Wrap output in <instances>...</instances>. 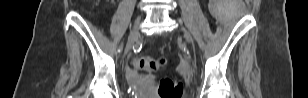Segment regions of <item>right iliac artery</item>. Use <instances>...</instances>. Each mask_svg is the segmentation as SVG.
Segmentation results:
<instances>
[{
	"instance_id": "82829eb1",
	"label": "right iliac artery",
	"mask_w": 308,
	"mask_h": 98,
	"mask_svg": "<svg viewBox=\"0 0 308 98\" xmlns=\"http://www.w3.org/2000/svg\"><path fill=\"white\" fill-rule=\"evenodd\" d=\"M123 48V45L120 46V48L118 49V51L120 52Z\"/></svg>"
}]
</instances>
